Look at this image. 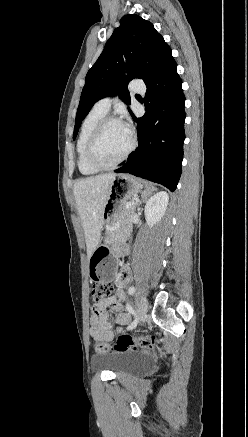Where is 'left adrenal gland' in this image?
<instances>
[{
  "instance_id": "1",
  "label": "left adrenal gland",
  "mask_w": 248,
  "mask_h": 437,
  "mask_svg": "<svg viewBox=\"0 0 248 437\" xmlns=\"http://www.w3.org/2000/svg\"><path fill=\"white\" fill-rule=\"evenodd\" d=\"M155 190H156L155 188H152L150 191L152 192V191H155ZM142 202H144V200L139 201L137 206H140L142 204Z\"/></svg>"
}]
</instances>
